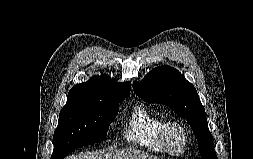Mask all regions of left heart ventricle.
I'll return each mask as SVG.
<instances>
[{
	"label": "left heart ventricle",
	"instance_id": "1",
	"mask_svg": "<svg viewBox=\"0 0 253 159\" xmlns=\"http://www.w3.org/2000/svg\"><path fill=\"white\" fill-rule=\"evenodd\" d=\"M168 141L170 146L175 150H179L182 146V137L177 130H172L170 132Z\"/></svg>",
	"mask_w": 253,
	"mask_h": 159
}]
</instances>
